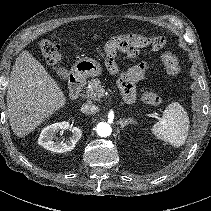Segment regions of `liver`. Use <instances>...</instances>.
<instances>
[{"label": "liver", "instance_id": "obj_1", "mask_svg": "<svg viewBox=\"0 0 211 211\" xmlns=\"http://www.w3.org/2000/svg\"><path fill=\"white\" fill-rule=\"evenodd\" d=\"M65 104L66 97L56 81L30 52L23 51L7 87V116L14 134L28 135Z\"/></svg>", "mask_w": 211, "mask_h": 211}]
</instances>
